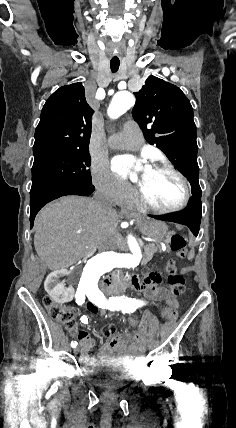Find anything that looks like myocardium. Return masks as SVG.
<instances>
[{
  "mask_svg": "<svg viewBox=\"0 0 236 428\" xmlns=\"http://www.w3.org/2000/svg\"><path fill=\"white\" fill-rule=\"evenodd\" d=\"M149 169L153 171H167L175 175L182 184L183 198L177 205L173 207H162L151 201L147 197L143 189L139 187L137 191L138 201L149 209L162 214H170L183 210L191 200V188L187 177L178 168H176L168 161L155 163Z\"/></svg>",
  "mask_w": 236,
  "mask_h": 428,
  "instance_id": "1",
  "label": "myocardium"
}]
</instances>
